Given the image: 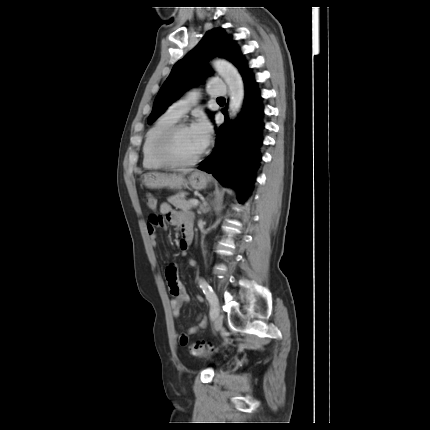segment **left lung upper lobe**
I'll use <instances>...</instances> for the list:
<instances>
[{
    "label": "left lung upper lobe",
    "mask_w": 430,
    "mask_h": 430,
    "mask_svg": "<svg viewBox=\"0 0 430 430\" xmlns=\"http://www.w3.org/2000/svg\"><path fill=\"white\" fill-rule=\"evenodd\" d=\"M216 56L231 61L242 76L246 71L249 72L241 52L234 46L231 37L221 28L208 31L199 44L173 66L155 99L148 123L155 121L172 102L178 99L192 84L195 75L204 69L205 62Z\"/></svg>",
    "instance_id": "1"
}]
</instances>
